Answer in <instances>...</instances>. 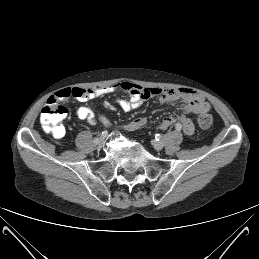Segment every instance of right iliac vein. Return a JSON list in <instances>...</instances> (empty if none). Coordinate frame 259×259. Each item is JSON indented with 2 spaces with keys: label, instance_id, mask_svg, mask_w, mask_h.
I'll list each match as a JSON object with an SVG mask.
<instances>
[{
  "label": "right iliac vein",
  "instance_id": "right-iliac-vein-1",
  "mask_svg": "<svg viewBox=\"0 0 259 259\" xmlns=\"http://www.w3.org/2000/svg\"><path fill=\"white\" fill-rule=\"evenodd\" d=\"M98 142H96V144L99 146V147H103L105 145V140L104 138H98Z\"/></svg>",
  "mask_w": 259,
  "mask_h": 259
}]
</instances>
